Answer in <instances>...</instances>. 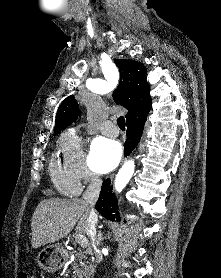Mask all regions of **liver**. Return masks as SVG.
<instances>
[{"mask_svg":"<svg viewBox=\"0 0 221 278\" xmlns=\"http://www.w3.org/2000/svg\"><path fill=\"white\" fill-rule=\"evenodd\" d=\"M89 216L88 203L82 199L49 198L36 207L31 220L34 249L53 243L68 235L76 227V236L86 233Z\"/></svg>","mask_w":221,"mask_h":278,"instance_id":"1","label":"liver"}]
</instances>
